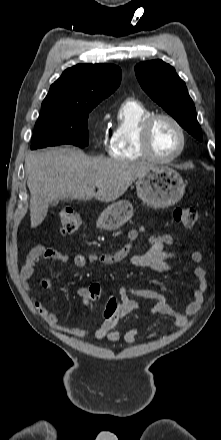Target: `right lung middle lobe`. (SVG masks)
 I'll use <instances>...</instances> for the list:
<instances>
[{"mask_svg": "<svg viewBox=\"0 0 221 440\" xmlns=\"http://www.w3.org/2000/svg\"><path fill=\"white\" fill-rule=\"evenodd\" d=\"M96 105L43 102L35 124L31 149L72 144L88 145V115Z\"/></svg>", "mask_w": 221, "mask_h": 440, "instance_id": "dd1d6c3e", "label": "right lung middle lobe"}]
</instances>
